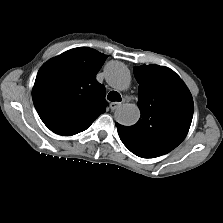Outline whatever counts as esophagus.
<instances>
[{"label":"esophagus","instance_id":"1","mask_svg":"<svg viewBox=\"0 0 223 223\" xmlns=\"http://www.w3.org/2000/svg\"><path fill=\"white\" fill-rule=\"evenodd\" d=\"M121 105L120 102H111L110 103V109L111 110H115L116 108H118Z\"/></svg>","mask_w":223,"mask_h":223}]
</instances>
